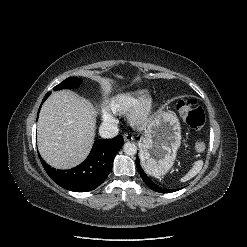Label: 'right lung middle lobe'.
<instances>
[{
    "instance_id": "1",
    "label": "right lung middle lobe",
    "mask_w": 247,
    "mask_h": 247,
    "mask_svg": "<svg viewBox=\"0 0 247 247\" xmlns=\"http://www.w3.org/2000/svg\"><path fill=\"white\" fill-rule=\"evenodd\" d=\"M82 79L79 78H67L66 80H64L63 82H61L60 84H58L57 86L54 87V90H61V89H67V88H75L77 86H79V84L81 83Z\"/></svg>"
}]
</instances>
